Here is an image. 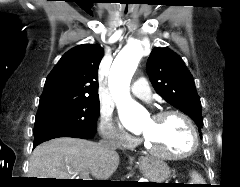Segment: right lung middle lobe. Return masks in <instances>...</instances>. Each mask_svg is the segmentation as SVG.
I'll return each mask as SVG.
<instances>
[{"label":"right lung middle lobe","instance_id":"right-lung-middle-lobe-1","mask_svg":"<svg viewBox=\"0 0 240 187\" xmlns=\"http://www.w3.org/2000/svg\"><path fill=\"white\" fill-rule=\"evenodd\" d=\"M99 112V100L60 101L39 105L34 136L54 129L86 136L94 134Z\"/></svg>","mask_w":240,"mask_h":187}]
</instances>
